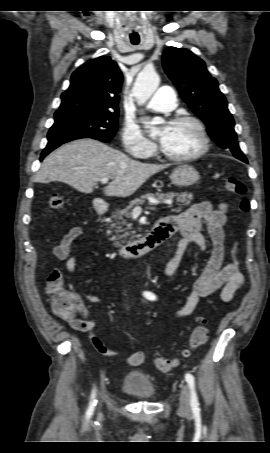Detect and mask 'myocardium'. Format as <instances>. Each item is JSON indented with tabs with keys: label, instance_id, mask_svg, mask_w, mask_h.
I'll use <instances>...</instances> for the list:
<instances>
[{
	"label": "myocardium",
	"instance_id": "1",
	"mask_svg": "<svg viewBox=\"0 0 270 453\" xmlns=\"http://www.w3.org/2000/svg\"><path fill=\"white\" fill-rule=\"evenodd\" d=\"M169 123L170 124L190 123L194 125L200 135L201 147L192 154L176 156L166 153L163 150L162 146H159V153L164 159L171 162L183 163L197 160L207 153V151L209 150L210 140L206 127L200 119L190 115H181L172 118Z\"/></svg>",
	"mask_w": 270,
	"mask_h": 453
}]
</instances>
